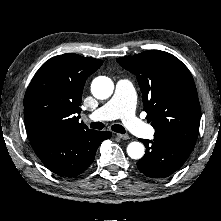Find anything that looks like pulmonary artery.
<instances>
[{
	"label": "pulmonary artery",
	"instance_id": "obj_1",
	"mask_svg": "<svg viewBox=\"0 0 221 221\" xmlns=\"http://www.w3.org/2000/svg\"><path fill=\"white\" fill-rule=\"evenodd\" d=\"M136 96L132 83L128 79H120L116 83L113 97L98 108L89 118L93 121L112 120L120 118L133 134L150 138L153 128L135 115Z\"/></svg>",
	"mask_w": 221,
	"mask_h": 221
}]
</instances>
